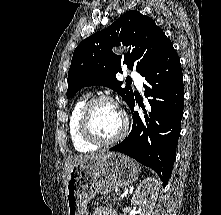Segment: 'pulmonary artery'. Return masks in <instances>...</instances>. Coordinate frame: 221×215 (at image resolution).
Segmentation results:
<instances>
[{
    "label": "pulmonary artery",
    "instance_id": "1",
    "mask_svg": "<svg viewBox=\"0 0 221 215\" xmlns=\"http://www.w3.org/2000/svg\"><path fill=\"white\" fill-rule=\"evenodd\" d=\"M129 75L134 79L137 88L139 90H141L142 89V85H143V80L139 76V74L136 71L132 70V71L129 72Z\"/></svg>",
    "mask_w": 221,
    "mask_h": 215
}]
</instances>
